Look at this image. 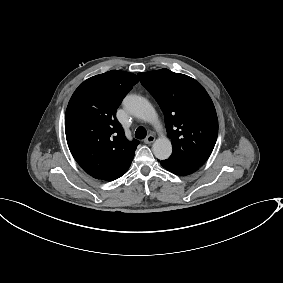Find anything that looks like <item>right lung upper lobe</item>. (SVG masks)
I'll use <instances>...</instances> for the list:
<instances>
[{"label":"right lung upper lobe","instance_id":"1","mask_svg":"<svg viewBox=\"0 0 283 283\" xmlns=\"http://www.w3.org/2000/svg\"><path fill=\"white\" fill-rule=\"evenodd\" d=\"M135 74L108 71L84 81L73 93L65 115L71 154L89 175L112 181L130 167L139 141H128L116 119L125 95L138 82Z\"/></svg>","mask_w":283,"mask_h":283}]
</instances>
